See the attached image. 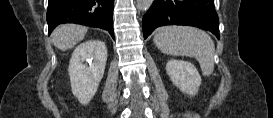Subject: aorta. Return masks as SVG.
Instances as JSON below:
<instances>
[{"mask_svg":"<svg viewBox=\"0 0 273 118\" xmlns=\"http://www.w3.org/2000/svg\"><path fill=\"white\" fill-rule=\"evenodd\" d=\"M136 7L140 11H146L152 5L153 0H137Z\"/></svg>","mask_w":273,"mask_h":118,"instance_id":"aorta-1","label":"aorta"}]
</instances>
